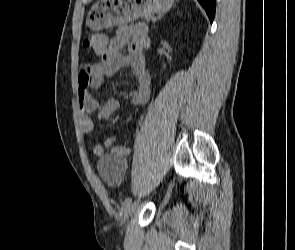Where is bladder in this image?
<instances>
[{"label":"bladder","instance_id":"1","mask_svg":"<svg viewBox=\"0 0 295 250\" xmlns=\"http://www.w3.org/2000/svg\"><path fill=\"white\" fill-rule=\"evenodd\" d=\"M123 157L105 154L97 163V170L101 178L110 185H117L125 172Z\"/></svg>","mask_w":295,"mask_h":250}]
</instances>
